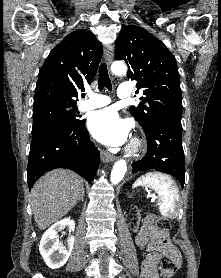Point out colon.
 <instances>
[{"mask_svg": "<svg viewBox=\"0 0 221 278\" xmlns=\"http://www.w3.org/2000/svg\"><path fill=\"white\" fill-rule=\"evenodd\" d=\"M155 227L161 231L167 232L170 229L168 219L157 216L154 221ZM178 268V264L171 258H164L160 262V270L164 276L170 277L174 275Z\"/></svg>", "mask_w": 221, "mask_h": 278, "instance_id": "5ec220e1", "label": "colon"}]
</instances>
